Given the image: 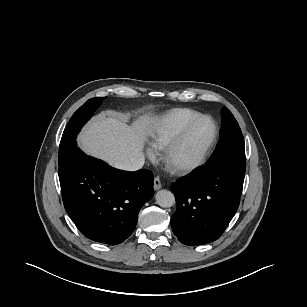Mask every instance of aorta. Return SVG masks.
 Segmentation results:
<instances>
[{
    "mask_svg": "<svg viewBox=\"0 0 307 307\" xmlns=\"http://www.w3.org/2000/svg\"><path fill=\"white\" fill-rule=\"evenodd\" d=\"M156 202L159 206L168 208L172 207L175 204V196L171 191L160 190L156 193L155 196Z\"/></svg>",
    "mask_w": 307,
    "mask_h": 307,
    "instance_id": "1",
    "label": "aorta"
}]
</instances>
